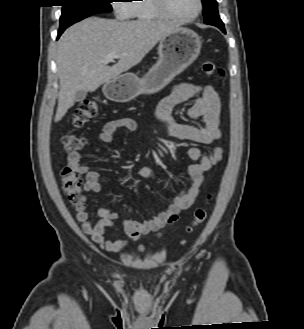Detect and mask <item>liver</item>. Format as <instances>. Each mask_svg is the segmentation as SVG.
Listing matches in <instances>:
<instances>
[{"mask_svg":"<svg viewBox=\"0 0 304 329\" xmlns=\"http://www.w3.org/2000/svg\"><path fill=\"white\" fill-rule=\"evenodd\" d=\"M178 28L170 22L117 21L90 17L69 27L57 44L60 91L55 122L74 105L78 90L93 92L142 61L153 47ZM118 54L113 66L104 63Z\"/></svg>","mask_w":304,"mask_h":329,"instance_id":"liver-1","label":"liver"}]
</instances>
